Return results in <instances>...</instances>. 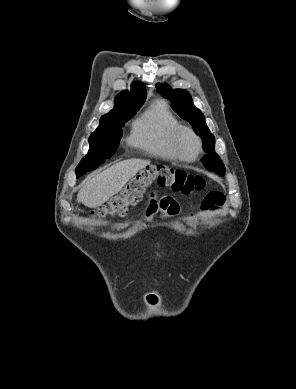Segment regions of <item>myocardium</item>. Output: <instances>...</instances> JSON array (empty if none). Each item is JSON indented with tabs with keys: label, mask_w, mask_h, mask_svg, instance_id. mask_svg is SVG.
Returning a JSON list of instances; mask_svg holds the SVG:
<instances>
[{
	"label": "myocardium",
	"mask_w": 296,
	"mask_h": 389,
	"mask_svg": "<svg viewBox=\"0 0 296 389\" xmlns=\"http://www.w3.org/2000/svg\"><path fill=\"white\" fill-rule=\"evenodd\" d=\"M185 137H189L193 140L196 151L192 157H187L182 150V141ZM171 149L177 159L185 162L196 161L202 152V140L200 136L188 126L180 125L177 127L171 136Z\"/></svg>",
	"instance_id": "myocardium-1"
}]
</instances>
